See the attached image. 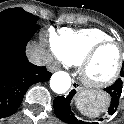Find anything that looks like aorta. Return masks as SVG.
I'll return each mask as SVG.
<instances>
[{
	"label": "aorta",
	"mask_w": 124,
	"mask_h": 124,
	"mask_svg": "<svg viewBox=\"0 0 124 124\" xmlns=\"http://www.w3.org/2000/svg\"><path fill=\"white\" fill-rule=\"evenodd\" d=\"M71 78L64 71L55 72L50 79V87L57 94H63L69 90Z\"/></svg>",
	"instance_id": "762f6f07"
}]
</instances>
